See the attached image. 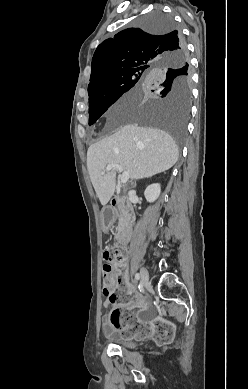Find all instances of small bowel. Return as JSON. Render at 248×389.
<instances>
[{"label": "small bowel", "instance_id": "obj_1", "mask_svg": "<svg viewBox=\"0 0 248 389\" xmlns=\"http://www.w3.org/2000/svg\"><path fill=\"white\" fill-rule=\"evenodd\" d=\"M111 305L116 306V303H112V302H110L108 299L105 300L104 303H103V306H104L105 308H108V307H110ZM146 306H147V303H145V302H143V303L140 304V312L138 313V318H139V320L142 321V322H147V320H148V319L150 318V316H151V313L147 310ZM113 310H115V308H114ZM113 310H112V311H113ZM112 311H111L109 314L105 315V316L103 317V319H102L103 328H104L105 330H108V329L110 328V326L112 325V324L110 323V315H111Z\"/></svg>", "mask_w": 248, "mask_h": 389}]
</instances>
